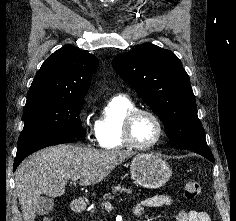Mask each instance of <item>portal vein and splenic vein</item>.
<instances>
[{
	"label": "portal vein and splenic vein",
	"mask_w": 236,
	"mask_h": 221,
	"mask_svg": "<svg viewBox=\"0 0 236 221\" xmlns=\"http://www.w3.org/2000/svg\"><path fill=\"white\" fill-rule=\"evenodd\" d=\"M78 179H79L78 177H74V178H72V181L75 182V181H77ZM105 207H111V203H110L109 201H106V202H105Z\"/></svg>",
	"instance_id": "obj_1"
}]
</instances>
